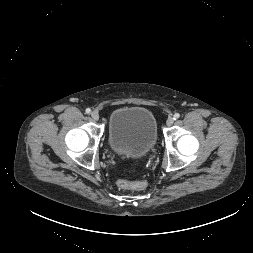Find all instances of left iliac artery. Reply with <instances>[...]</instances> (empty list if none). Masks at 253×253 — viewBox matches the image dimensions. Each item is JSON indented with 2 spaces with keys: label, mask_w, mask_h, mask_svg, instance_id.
<instances>
[{
  "label": "left iliac artery",
  "mask_w": 253,
  "mask_h": 253,
  "mask_svg": "<svg viewBox=\"0 0 253 253\" xmlns=\"http://www.w3.org/2000/svg\"><path fill=\"white\" fill-rule=\"evenodd\" d=\"M179 117H180V114H179V113H175V114H174V120H177Z\"/></svg>",
  "instance_id": "44dca946"
}]
</instances>
